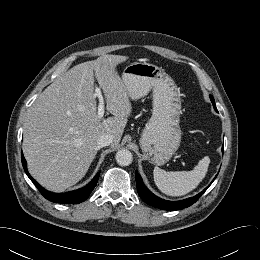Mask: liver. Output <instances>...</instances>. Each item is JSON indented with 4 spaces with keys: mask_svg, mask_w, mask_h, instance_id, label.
<instances>
[{
    "mask_svg": "<svg viewBox=\"0 0 260 260\" xmlns=\"http://www.w3.org/2000/svg\"><path fill=\"white\" fill-rule=\"evenodd\" d=\"M127 59L103 55L78 64L50 84L29 108L23 153L30 174L46 189L62 192L79 182L96 157L101 135L111 134L112 144H119L132 106L116 66ZM94 74L106 109L113 115L103 121L97 115Z\"/></svg>",
    "mask_w": 260,
    "mask_h": 260,
    "instance_id": "6515ba94",
    "label": "liver"
}]
</instances>
